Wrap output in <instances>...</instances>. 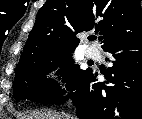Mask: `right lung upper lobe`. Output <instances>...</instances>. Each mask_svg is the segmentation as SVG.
<instances>
[{"label": "right lung upper lobe", "mask_w": 142, "mask_h": 119, "mask_svg": "<svg viewBox=\"0 0 142 119\" xmlns=\"http://www.w3.org/2000/svg\"><path fill=\"white\" fill-rule=\"evenodd\" d=\"M100 31L102 49L142 36L138 0H47L39 10L18 68L58 52L75 50L77 34Z\"/></svg>", "instance_id": "obj_1"}]
</instances>
